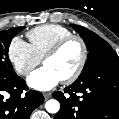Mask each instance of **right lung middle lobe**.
<instances>
[{"label": "right lung middle lobe", "instance_id": "1", "mask_svg": "<svg viewBox=\"0 0 119 119\" xmlns=\"http://www.w3.org/2000/svg\"><path fill=\"white\" fill-rule=\"evenodd\" d=\"M25 27H17L8 31H0V76H10L15 74L8 57V48L12 38Z\"/></svg>", "mask_w": 119, "mask_h": 119}]
</instances>
